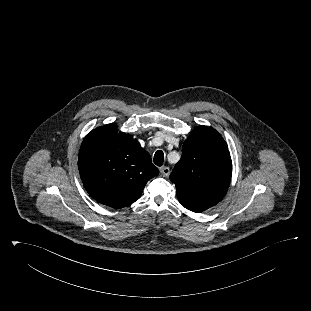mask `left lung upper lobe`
Instances as JSON below:
<instances>
[{"label":"left lung upper lobe","instance_id":"left-lung-upper-lobe-1","mask_svg":"<svg viewBox=\"0 0 311 311\" xmlns=\"http://www.w3.org/2000/svg\"><path fill=\"white\" fill-rule=\"evenodd\" d=\"M232 161L228 146L212 127H196L184 141L182 157L170 180L177 195L197 203L216 205L230 185Z\"/></svg>","mask_w":311,"mask_h":311}]
</instances>
